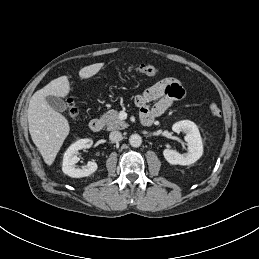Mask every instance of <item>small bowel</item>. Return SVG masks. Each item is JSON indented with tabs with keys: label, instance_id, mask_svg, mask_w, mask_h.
I'll return each mask as SVG.
<instances>
[{
	"label": "small bowel",
	"instance_id": "obj_1",
	"mask_svg": "<svg viewBox=\"0 0 259 259\" xmlns=\"http://www.w3.org/2000/svg\"><path fill=\"white\" fill-rule=\"evenodd\" d=\"M185 97L181 82L173 77H166L135 97V104L140 109L141 117L152 120L173 107L175 102ZM152 102H155L151 105Z\"/></svg>",
	"mask_w": 259,
	"mask_h": 259
}]
</instances>
